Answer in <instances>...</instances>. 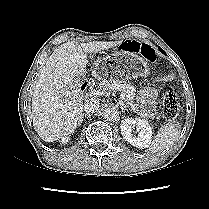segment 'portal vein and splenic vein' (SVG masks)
Segmentation results:
<instances>
[{
	"label": "portal vein and splenic vein",
	"mask_w": 209,
	"mask_h": 209,
	"mask_svg": "<svg viewBox=\"0 0 209 209\" xmlns=\"http://www.w3.org/2000/svg\"><path fill=\"white\" fill-rule=\"evenodd\" d=\"M99 95H100V91H99V90L93 89V90H91V91L89 92V96L92 97V98H96V97H98ZM120 97H121L122 99L125 100V99H126L125 93L121 92Z\"/></svg>",
	"instance_id": "18ae733b"
}]
</instances>
